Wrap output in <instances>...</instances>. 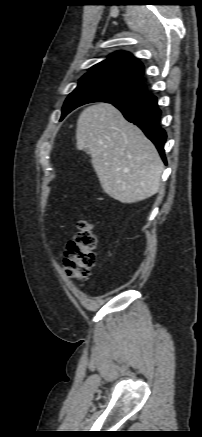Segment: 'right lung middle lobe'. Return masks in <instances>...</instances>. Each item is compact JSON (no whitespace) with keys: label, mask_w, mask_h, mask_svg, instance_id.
<instances>
[{"label":"right lung middle lobe","mask_w":202,"mask_h":437,"mask_svg":"<svg viewBox=\"0 0 202 437\" xmlns=\"http://www.w3.org/2000/svg\"><path fill=\"white\" fill-rule=\"evenodd\" d=\"M147 93L142 82L113 72H88L79 80L76 89L66 99L62 118L75 108L91 102H115L132 99Z\"/></svg>","instance_id":"1"}]
</instances>
